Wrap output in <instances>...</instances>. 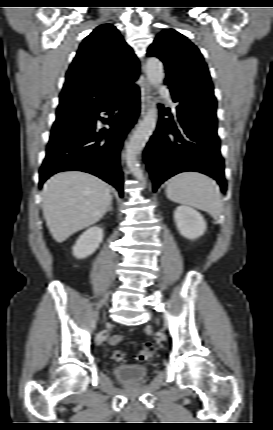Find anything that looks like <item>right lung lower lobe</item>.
I'll list each match as a JSON object with an SVG mask.
<instances>
[{
	"label": "right lung lower lobe",
	"instance_id": "98d812e1",
	"mask_svg": "<svg viewBox=\"0 0 273 430\" xmlns=\"http://www.w3.org/2000/svg\"><path fill=\"white\" fill-rule=\"evenodd\" d=\"M139 97L137 86L125 89L116 96L89 106L90 115L82 127L52 135L40 169L39 187L57 172L79 170L110 183L122 197L120 150L127 132L139 115ZM120 101L122 104L119 107ZM117 109L116 118L109 120L111 128L99 131L96 122L98 119L104 120L99 113L113 114Z\"/></svg>",
	"mask_w": 273,
	"mask_h": 430
}]
</instances>
